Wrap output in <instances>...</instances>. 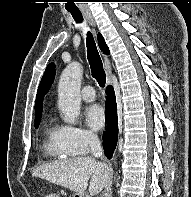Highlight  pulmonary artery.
<instances>
[{"label":"pulmonary artery","instance_id":"obj_1","mask_svg":"<svg viewBox=\"0 0 191 197\" xmlns=\"http://www.w3.org/2000/svg\"><path fill=\"white\" fill-rule=\"evenodd\" d=\"M82 99L86 102H92L95 100V91L91 86H85L81 90Z\"/></svg>","mask_w":191,"mask_h":197}]
</instances>
